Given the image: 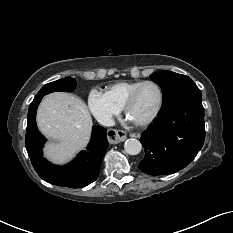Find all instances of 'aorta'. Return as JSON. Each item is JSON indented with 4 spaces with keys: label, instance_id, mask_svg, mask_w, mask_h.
Here are the masks:
<instances>
[{
    "label": "aorta",
    "instance_id": "aorta-1",
    "mask_svg": "<svg viewBox=\"0 0 233 233\" xmlns=\"http://www.w3.org/2000/svg\"><path fill=\"white\" fill-rule=\"evenodd\" d=\"M124 150L129 155H136L142 150V144L137 139H128L125 141Z\"/></svg>",
    "mask_w": 233,
    "mask_h": 233
}]
</instances>
